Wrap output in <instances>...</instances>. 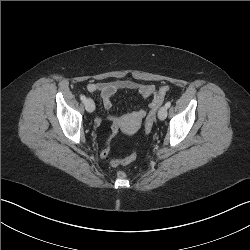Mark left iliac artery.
Instances as JSON below:
<instances>
[{"instance_id": "obj_1", "label": "left iliac artery", "mask_w": 250, "mask_h": 250, "mask_svg": "<svg viewBox=\"0 0 250 250\" xmlns=\"http://www.w3.org/2000/svg\"><path fill=\"white\" fill-rule=\"evenodd\" d=\"M171 106V102H167L166 104H165V107L166 108H169Z\"/></svg>"}]
</instances>
